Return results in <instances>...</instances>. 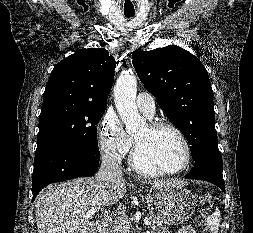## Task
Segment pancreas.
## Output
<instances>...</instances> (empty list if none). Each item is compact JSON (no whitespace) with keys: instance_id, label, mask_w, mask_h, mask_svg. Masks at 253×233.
I'll list each match as a JSON object with an SVG mask.
<instances>
[{"instance_id":"1","label":"pancreas","mask_w":253,"mask_h":233,"mask_svg":"<svg viewBox=\"0 0 253 233\" xmlns=\"http://www.w3.org/2000/svg\"><path fill=\"white\" fill-rule=\"evenodd\" d=\"M153 223L148 227L151 233H170L169 228L161 226L152 220ZM130 224L128 220L124 218H118L114 221L112 230L110 233H129Z\"/></svg>"}]
</instances>
